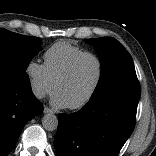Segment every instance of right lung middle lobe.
<instances>
[{
  "label": "right lung middle lobe",
  "mask_w": 156,
  "mask_h": 156,
  "mask_svg": "<svg viewBox=\"0 0 156 156\" xmlns=\"http://www.w3.org/2000/svg\"><path fill=\"white\" fill-rule=\"evenodd\" d=\"M41 44L37 37L0 29V77L28 83L26 69Z\"/></svg>",
  "instance_id": "obj_1"
}]
</instances>
